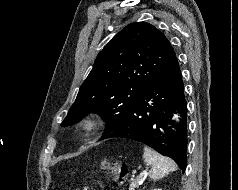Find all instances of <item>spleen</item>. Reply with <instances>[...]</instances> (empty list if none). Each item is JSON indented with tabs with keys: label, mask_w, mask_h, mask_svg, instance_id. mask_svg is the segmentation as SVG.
I'll return each instance as SVG.
<instances>
[{
	"label": "spleen",
	"mask_w": 238,
	"mask_h": 190,
	"mask_svg": "<svg viewBox=\"0 0 238 190\" xmlns=\"http://www.w3.org/2000/svg\"><path fill=\"white\" fill-rule=\"evenodd\" d=\"M144 161L151 165L149 177L153 180L161 179L172 171H176L177 166L173 160L164 157L149 147H144Z\"/></svg>",
	"instance_id": "obj_1"
}]
</instances>
